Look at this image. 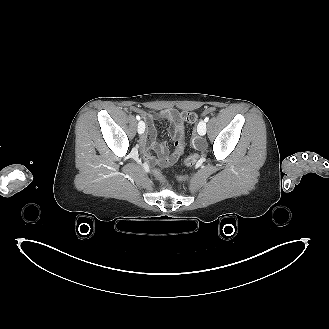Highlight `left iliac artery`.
Listing matches in <instances>:
<instances>
[{
  "instance_id": "1",
  "label": "left iliac artery",
  "mask_w": 329,
  "mask_h": 329,
  "mask_svg": "<svg viewBox=\"0 0 329 329\" xmlns=\"http://www.w3.org/2000/svg\"><path fill=\"white\" fill-rule=\"evenodd\" d=\"M204 121L205 122H208L209 121V117H205Z\"/></svg>"
}]
</instances>
